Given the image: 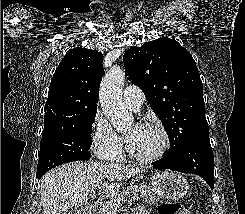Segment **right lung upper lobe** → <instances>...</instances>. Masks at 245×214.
<instances>
[{
	"label": "right lung upper lobe",
	"instance_id": "cb5924a9",
	"mask_svg": "<svg viewBox=\"0 0 245 214\" xmlns=\"http://www.w3.org/2000/svg\"><path fill=\"white\" fill-rule=\"evenodd\" d=\"M102 62L100 52L82 47L65 55L51 80L42 135L74 126L97 110Z\"/></svg>",
	"mask_w": 245,
	"mask_h": 214
}]
</instances>
